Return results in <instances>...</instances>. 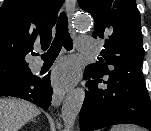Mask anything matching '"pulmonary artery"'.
<instances>
[{
    "label": "pulmonary artery",
    "instance_id": "pulmonary-artery-1",
    "mask_svg": "<svg viewBox=\"0 0 151 131\" xmlns=\"http://www.w3.org/2000/svg\"><path fill=\"white\" fill-rule=\"evenodd\" d=\"M96 45L95 40L89 36H81L78 38V47L83 51H91ZM42 60H38L35 67L39 68L42 66Z\"/></svg>",
    "mask_w": 151,
    "mask_h": 131
}]
</instances>
